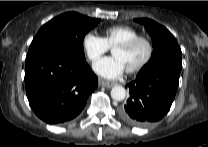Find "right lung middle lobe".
I'll return each mask as SVG.
<instances>
[{
  "instance_id": "right-lung-middle-lobe-1",
  "label": "right lung middle lobe",
  "mask_w": 208,
  "mask_h": 147,
  "mask_svg": "<svg viewBox=\"0 0 208 147\" xmlns=\"http://www.w3.org/2000/svg\"><path fill=\"white\" fill-rule=\"evenodd\" d=\"M100 21L76 12L61 14L40 28L27 56L47 50H64L85 60L83 39Z\"/></svg>"
}]
</instances>
